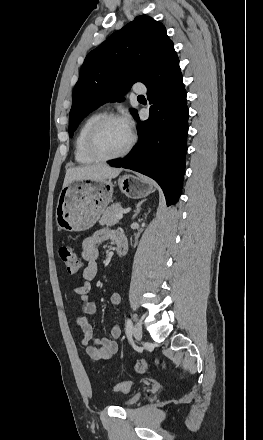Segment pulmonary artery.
Wrapping results in <instances>:
<instances>
[{"instance_id": "obj_1", "label": "pulmonary artery", "mask_w": 263, "mask_h": 440, "mask_svg": "<svg viewBox=\"0 0 263 440\" xmlns=\"http://www.w3.org/2000/svg\"><path fill=\"white\" fill-rule=\"evenodd\" d=\"M134 92L137 94H143L146 92V88L137 86L134 88Z\"/></svg>"}]
</instances>
